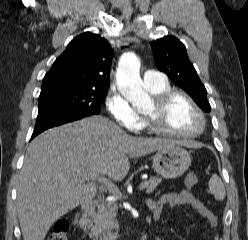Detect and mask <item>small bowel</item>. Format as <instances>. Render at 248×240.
Instances as JSON below:
<instances>
[{"label":"small bowel","instance_id":"obj_1","mask_svg":"<svg viewBox=\"0 0 248 240\" xmlns=\"http://www.w3.org/2000/svg\"><path fill=\"white\" fill-rule=\"evenodd\" d=\"M183 205L191 206L195 211L198 212L203 218H205L209 225L216 229L218 225V218L215 214L206 207L200 200L195 198L191 193L187 191L165 193L161 195L157 200H149L148 206L153 214L155 220L161 217L163 208L169 206L171 208H177ZM159 240V239H155ZM214 240H221L215 235Z\"/></svg>","mask_w":248,"mask_h":240}]
</instances>
